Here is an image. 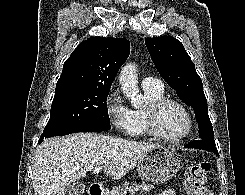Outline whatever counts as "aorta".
I'll use <instances>...</instances> for the list:
<instances>
[{"instance_id": "1", "label": "aorta", "mask_w": 245, "mask_h": 195, "mask_svg": "<svg viewBox=\"0 0 245 195\" xmlns=\"http://www.w3.org/2000/svg\"><path fill=\"white\" fill-rule=\"evenodd\" d=\"M137 66L135 63L126 64L120 73L119 82L123 94L131 100L133 107L138 108L142 105V96L139 93L138 79H137Z\"/></svg>"}]
</instances>
